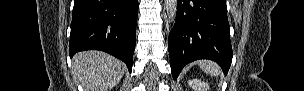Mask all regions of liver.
<instances>
[{
	"mask_svg": "<svg viewBox=\"0 0 304 91\" xmlns=\"http://www.w3.org/2000/svg\"><path fill=\"white\" fill-rule=\"evenodd\" d=\"M73 74L85 91H109L121 80L125 65L109 54L90 50L73 58Z\"/></svg>",
	"mask_w": 304,
	"mask_h": 91,
	"instance_id": "obj_1",
	"label": "liver"
}]
</instances>
